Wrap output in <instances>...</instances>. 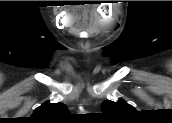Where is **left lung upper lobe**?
<instances>
[{"instance_id":"5c2ea615","label":"left lung upper lobe","mask_w":172,"mask_h":123,"mask_svg":"<svg viewBox=\"0 0 172 123\" xmlns=\"http://www.w3.org/2000/svg\"><path fill=\"white\" fill-rule=\"evenodd\" d=\"M135 110L125 100L120 99L117 102L105 100L102 104V111L107 115L123 116Z\"/></svg>"}]
</instances>
